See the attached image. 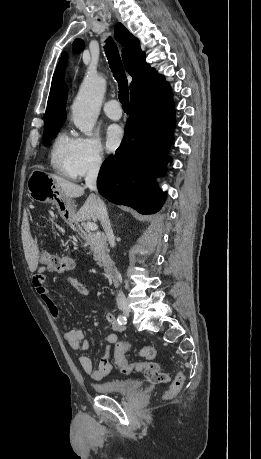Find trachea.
Listing matches in <instances>:
<instances>
[{"label": "trachea", "mask_w": 261, "mask_h": 459, "mask_svg": "<svg viewBox=\"0 0 261 459\" xmlns=\"http://www.w3.org/2000/svg\"><path fill=\"white\" fill-rule=\"evenodd\" d=\"M104 49L111 71L113 72L114 78L117 80L119 84V100L124 110H130L127 77L119 55L118 48L111 37L106 40V45Z\"/></svg>", "instance_id": "obj_1"}]
</instances>
